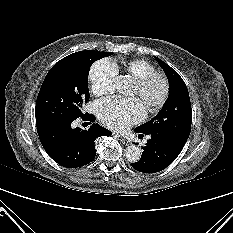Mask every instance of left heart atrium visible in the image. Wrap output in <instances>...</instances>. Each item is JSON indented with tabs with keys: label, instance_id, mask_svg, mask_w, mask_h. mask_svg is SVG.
I'll return each instance as SVG.
<instances>
[{
	"label": "left heart atrium",
	"instance_id": "obj_1",
	"mask_svg": "<svg viewBox=\"0 0 233 233\" xmlns=\"http://www.w3.org/2000/svg\"><path fill=\"white\" fill-rule=\"evenodd\" d=\"M96 113L108 127L123 130L143 119L145 107L138 98L113 96L99 101Z\"/></svg>",
	"mask_w": 233,
	"mask_h": 233
}]
</instances>
